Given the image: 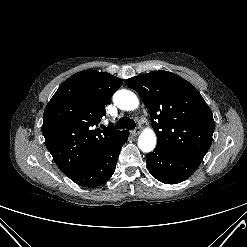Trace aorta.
Returning a JSON list of instances; mask_svg holds the SVG:
<instances>
[{"label": "aorta", "instance_id": "762f6f07", "mask_svg": "<svg viewBox=\"0 0 247 247\" xmlns=\"http://www.w3.org/2000/svg\"><path fill=\"white\" fill-rule=\"evenodd\" d=\"M114 104L121 110L132 111L139 106L137 96L129 90H119L114 94ZM156 134L152 129H145L138 138V147L143 152H151L156 146Z\"/></svg>", "mask_w": 247, "mask_h": 247}]
</instances>
